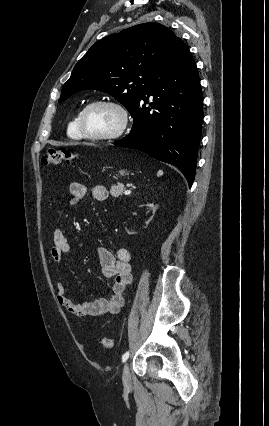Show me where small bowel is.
<instances>
[{
    "mask_svg": "<svg viewBox=\"0 0 269 426\" xmlns=\"http://www.w3.org/2000/svg\"><path fill=\"white\" fill-rule=\"evenodd\" d=\"M87 192L85 185L72 182L69 187V197L65 201L60 215L65 211L77 207L84 199ZM91 195L96 201H105L108 190L105 186L97 185L91 188ZM71 252V246L66 234L60 228L53 233V246L51 258L61 264L65 255ZM101 273L105 278L113 279L110 290L95 300H75L66 295V285L63 282L56 284V300L60 307L66 311L86 317H101L106 314H116L121 311L125 300L123 291L132 282L131 254L127 248H118L112 252L105 246L98 248Z\"/></svg>",
    "mask_w": 269,
    "mask_h": 426,
    "instance_id": "c3829d8e",
    "label": "small bowel"
}]
</instances>
